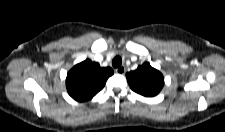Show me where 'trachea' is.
<instances>
[{"mask_svg":"<svg viewBox=\"0 0 225 132\" xmlns=\"http://www.w3.org/2000/svg\"><path fill=\"white\" fill-rule=\"evenodd\" d=\"M122 64V59L120 56H116L114 57V59L112 60V65L114 68H118L120 65Z\"/></svg>","mask_w":225,"mask_h":132,"instance_id":"1","label":"trachea"}]
</instances>
